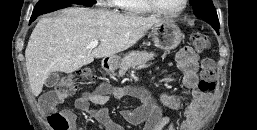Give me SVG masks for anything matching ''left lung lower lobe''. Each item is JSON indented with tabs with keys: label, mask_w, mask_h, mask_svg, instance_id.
Instances as JSON below:
<instances>
[{
	"label": "left lung lower lobe",
	"mask_w": 257,
	"mask_h": 130,
	"mask_svg": "<svg viewBox=\"0 0 257 130\" xmlns=\"http://www.w3.org/2000/svg\"><path fill=\"white\" fill-rule=\"evenodd\" d=\"M215 30H216L217 33L219 32V28H216Z\"/></svg>",
	"instance_id": "obj_1"
}]
</instances>
